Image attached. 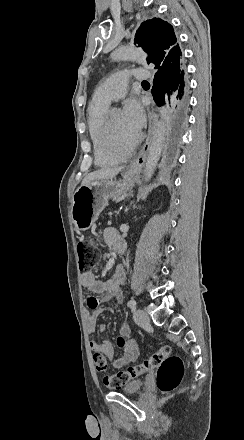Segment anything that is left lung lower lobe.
I'll list each match as a JSON object with an SVG mask.
<instances>
[{
  "label": "left lung lower lobe",
  "mask_w": 244,
  "mask_h": 440,
  "mask_svg": "<svg viewBox=\"0 0 244 440\" xmlns=\"http://www.w3.org/2000/svg\"><path fill=\"white\" fill-rule=\"evenodd\" d=\"M151 93L157 104H164L167 95L170 107V117L164 142L166 153L174 152L182 141L188 116L187 85L184 81V71L181 58L167 66H160L155 78Z\"/></svg>",
  "instance_id": "0a47b994"
}]
</instances>
